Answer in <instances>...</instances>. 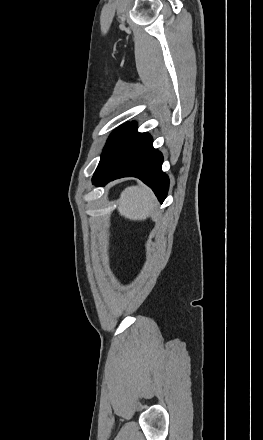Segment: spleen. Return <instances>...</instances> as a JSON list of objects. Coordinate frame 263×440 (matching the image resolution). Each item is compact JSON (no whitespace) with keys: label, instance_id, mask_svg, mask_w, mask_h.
Listing matches in <instances>:
<instances>
[{"label":"spleen","instance_id":"obj_1","mask_svg":"<svg viewBox=\"0 0 263 440\" xmlns=\"http://www.w3.org/2000/svg\"><path fill=\"white\" fill-rule=\"evenodd\" d=\"M155 209V196L146 186H131L122 191L118 200L121 216L134 221L145 220Z\"/></svg>","mask_w":263,"mask_h":440}]
</instances>
